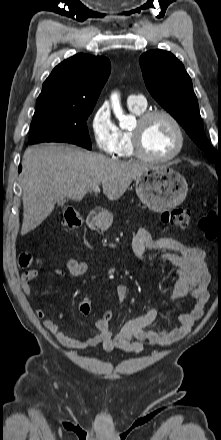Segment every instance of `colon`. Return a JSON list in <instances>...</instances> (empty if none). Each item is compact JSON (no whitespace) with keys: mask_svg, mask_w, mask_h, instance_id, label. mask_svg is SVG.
Returning <instances> with one entry per match:
<instances>
[{"mask_svg":"<svg viewBox=\"0 0 221 440\" xmlns=\"http://www.w3.org/2000/svg\"><path fill=\"white\" fill-rule=\"evenodd\" d=\"M191 213L190 210L183 207H175L169 210H166L162 213V221L165 224L177 227V228H186L190 222ZM82 217L81 215L74 209L68 208L65 209L63 214V224L67 230H76L82 225ZM200 229L204 232L205 236L208 239H214L218 234V221L212 215L208 214L204 216L199 222ZM33 262L32 256L28 253H23L20 256L19 263L20 266L25 268L28 267ZM92 304L89 299H83L79 303V311L83 315H87L91 312ZM103 321H112L113 313L112 312H103L102 313Z\"/></svg>","mask_w":221,"mask_h":440,"instance_id":"5ec220e1","label":"colon"}]
</instances>
